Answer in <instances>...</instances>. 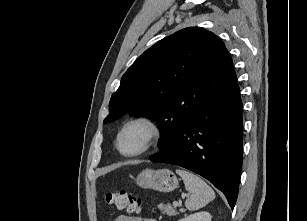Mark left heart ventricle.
Instances as JSON below:
<instances>
[{
  "label": "left heart ventricle",
  "mask_w": 307,
  "mask_h": 221,
  "mask_svg": "<svg viewBox=\"0 0 307 221\" xmlns=\"http://www.w3.org/2000/svg\"><path fill=\"white\" fill-rule=\"evenodd\" d=\"M145 138L146 130L143 126H131L124 132L121 138V149L126 153L135 152L143 146Z\"/></svg>",
  "instance_id": "b2bd125f"
}]
</instances>
